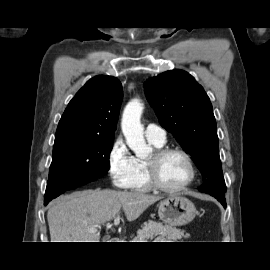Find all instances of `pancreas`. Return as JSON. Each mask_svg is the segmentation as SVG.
Wrapping results in <instances>:
<instances>
[{
	"label": "pancreas",
	"instance_id": "pancreas-1",
	"mask_svg": "<svg viewBox=\"0 0 270 270\" xmlns=\"http://www.w3.org/2000/svg\"><path fill=\"white\" fill-rule=\"evenodd\" d=\"M156 236L177 242L178 239L188 238L189 234H185V231L173 226L149 220L147 223H144L142 229L138 230L137 236L132 242H150Z\"/></svg>",
	"mask_w": 270,
	"mask_h": 270
}]
</instances>
